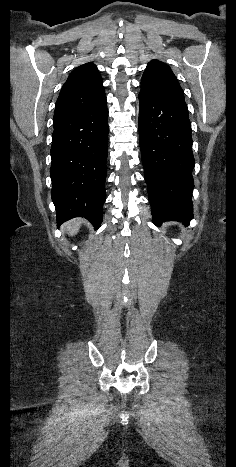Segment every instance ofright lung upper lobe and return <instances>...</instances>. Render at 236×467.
Instances as JSON below:
<instances>
[{
    "label": "right lung upper lobe",
    "mask_w": 236,
    "mask_h": 467,
    "mask_svg": "<svg viewBox=\"0 0 236 467\" xmlns=\"http://www.w3.org/2000/svg\"><path fill=\"white\" fill-rule=\"evenodd\" d=\"M103 81L93 63L77 67L63 85L57 99L53 123L76 116L105 98Z\"/></svg>",
    "instance_id": "right-lung-upper-lobe-1"
}]
</instances>
